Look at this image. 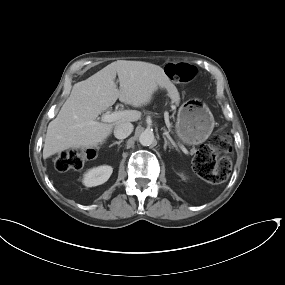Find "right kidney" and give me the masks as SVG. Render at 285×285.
I'll return each mask as SVG.
<instances>
[{"label": "right kidney", "mask_w": 285, "mask_h": 285, "mask_svg": "<svg viewBox=\"0 0 285 285\" xmlns=\"http://www.w3.org/2000/svg\"><path fill=\"white\" fill-rule=\"evenodd\" d=\"M113 168L108 165L98 166L85 173L83 184L87 187H94L105 183L111 176Z\"/></svg>", "instance_id": "1"}]
</instances>
